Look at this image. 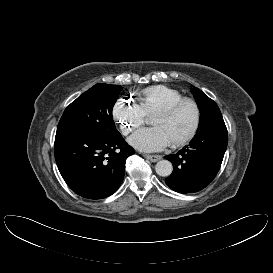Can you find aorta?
Masks as SVG:
<instances>
[{"instance_id":"762f6f07","label":"aorta","mask_w":273,"mask_h":273,"mask_svg":"<svg viewBox=\"0 0 273 273\" xmlns=\"http://www.w3.org/2000/svg\"><path fill=\"white\" fill-rule=\"evenodd\" d=\"M155 171L159 176L168 177L173 171L172 163L168 160H161L155 165Z\"/></svg>"}]
</instances>
